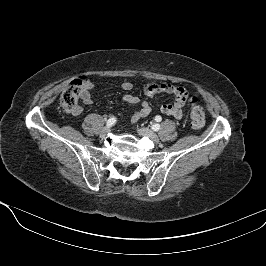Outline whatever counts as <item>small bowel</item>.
I'll use <instances>...</instances> for the list:
<instances>
[{
    "mask_svg": "<svg viewBox=\"0 0 266 266\" xmlns=\"http://www.w3.org/2000/svg\"><path fill=\"white\" fill-rule=\"evenodd\" d=\"M121 89L124 91H130L133 88L132 83L123 82L120 85ZM94 89V84L89 78H84L82 81L80 98L84 104L90 105L93 103L92 90ZM144 94L148 97H154L158 94H169L174 98L170 102H165L161 105V112L163 114L172 116L176 119L183 118L185 114V107L188 99V92L184 87L165 84V83H150L144 88ZM123 101L129 105H136L139 103V99L131 94H125L123 96ZM152 108L149 102L143 101L138 110H136L131 116V122L135 123L141 118L146 117L150 114ZM82 108L78 106L75 111L72 112L73 115L77 116L81 114Z\"/></svg>",
    "mask_w": 266,
    "mask_h": 266,
    "instance_id": "1",
    "label": "small bowel"
}]
</instances>
